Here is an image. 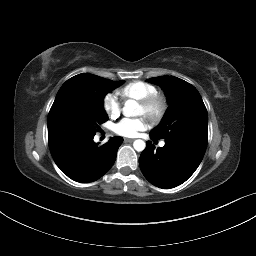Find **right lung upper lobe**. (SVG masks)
<instances>
[{"label": "right lung upper lobe", "instance_id": "right-lung-upper-lobe-1", "mask_svg": "<svg viewBox=\"0 0 256 256\" xmlns=\"http://www.w3.org/2000/svg\"><path fill=\"white\" fill-rule=\"evenodd\" d=\"M88 89V85L81 78V75H76L69 80H67L62 87L60 88L55 101L51 107V110L62 100L70 99L76 100L84 95L86 90ZM50 110V111H51Z\"/></svg>", "mask_w": 256, "mask_h": 256}]
</instances>
